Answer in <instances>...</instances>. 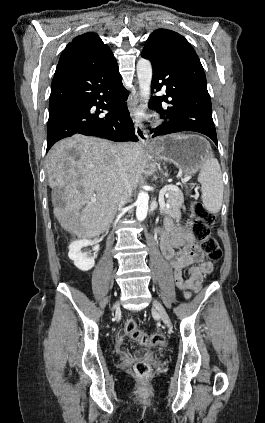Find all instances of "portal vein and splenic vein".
I'll return each mask as SVG.
<instances>
[{
    "label": "portal vein and splenic vein",
    "instance_id": "18ae733b",
    "mask_svg": "<svg viewBox=\"0 0 265 423\" xmlns=\"http://www.w3.org/2000/svg\"><path fill=\"white\" fill-rule=\"evenodd\" d=\"M190 179V177H186V178H184L183 179V182H186V181H188ZM170 190H178V188H177V186H175V185H172V184H169V185H166V186H164L161 190H160V193H159V205H160V207L161 208H165V207H168L169 205L168 204H166L165 203V199H164V195L168 192V191H170ZM91 202L92 203H95L96 202V199L95 198H92L91 199Z\"/></svg>",
    "mask_w": 265,
    "mask_h": 423
}]
</instances>
